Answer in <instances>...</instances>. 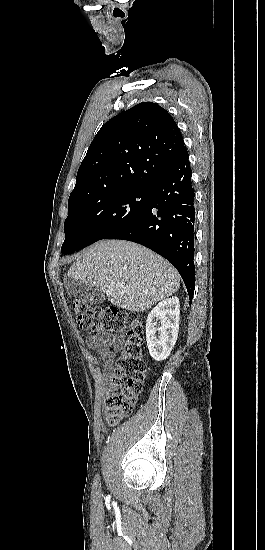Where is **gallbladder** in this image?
I'll return each mask as SVG.
<instances>
[{
    "instance_id": "bac80fb5",
    "label": "gallbladder",
    "mask_w": 265,
    "mask_h": 550,
    "mask_svg": "<svg viewBox=\"0 0 265 550\" xmlns=\"http://www.w3.org/2000/svg\"><path fill=\"white\" fill-rule=\"evenodd\" d=\"M68 291L80 301L86 304H101L105 300L104 293L97 287L86 282H76L71 278L65 281Z\"/></svg>"
}]
</instances>
